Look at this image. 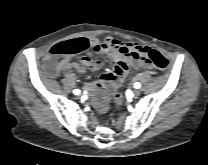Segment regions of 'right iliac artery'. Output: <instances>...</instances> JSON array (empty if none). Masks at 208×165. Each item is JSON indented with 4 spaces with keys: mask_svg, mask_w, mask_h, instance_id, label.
<instances>
[{
    "mask_svg": "<svg viewBox=\"0 0 208 165\" xmlns=\"http://www.w3.org/2000/svg\"><path fill=\"white\" fill-rule=\"evenodd\" d=\"M73 92H74V94L78 95L80 93V90L75 89Z\"/></svg>",
    "mask_w": 208,
    "mask_h": 165,
    "instance_id": "1",
    "label": "right iliac artery"
}]
</instances>
